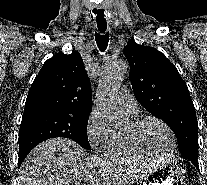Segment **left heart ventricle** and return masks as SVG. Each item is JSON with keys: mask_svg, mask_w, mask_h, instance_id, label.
Returning a JSON list of instances; mask_svg holds the SVG:
<instances>
[{"mask_svg": "<svg viewBox=\"0 0 207 185\" xmlns=\"http://www.w3.org/2000/svg\"><path fill=\"white\" fill-rule=\"evenodd\" d=\"M138 137L147 152L156 158L166 157L171 150L169 133L155 121L145 123L139 130Z\"/></svg>", "mask_w": 207, "mask_h": 185, "instance_id": "1", "label": "left heart ventricle"}]
</instances>
